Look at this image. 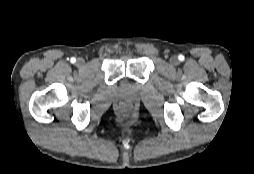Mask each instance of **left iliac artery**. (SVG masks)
<instances>
[{
	"label": "left iliac artery",
	"mask_w": 254,
	"mask_h": 174,
	"mask_svg": "<svg viewBox=\"0 0 254 174\" xmlns=\"http://www.w3.org/2000/svg\"><path fill=\"white\" fill-rule=\"evenodd\" d=\"M183 59H184V56L179 55V60H183Z\"/></svg>",
	"instance_id": "left-iliac-artery-1"
}]
</instances>
